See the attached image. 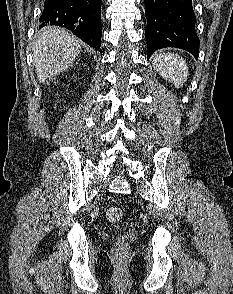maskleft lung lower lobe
<instances>
[{
	"label": "left lung lower lobe",
	"instance_id": "obj_1",
	"mask_svg": "<svg viewBox=\"0 0 233 294\" xmlns=\"http://www.w3.org/2000/svg\"><path fill=\"white\" fill-rule=\"evenodd\" d=\"M144 1L148 58L164 47L184 49L197 58L199 39L195 31L192 0Z\"/></svg>",
	"mask_w": 233,
	"mask_h": 294
}]
</instances>
